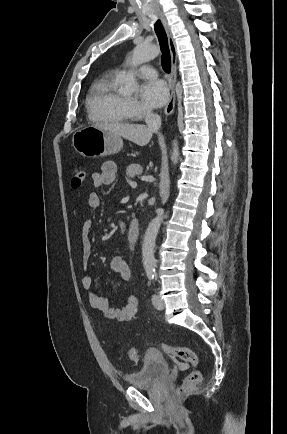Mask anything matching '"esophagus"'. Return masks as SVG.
Wrapping results in <instances>:
<instances>
[{
    "label": "esophagus",
    "mask_w": 287,
    "mask_h": 434,
    "mask_svg": "<svg viewBox=\"0 0 287 434\" xmlns=\"http://www.w3.org/2000/svg\"><path fill=\"white\" fill-rule=\"evenodd\" d=\"M159 17H160L162 25L166 31V34H167L170 53H171V74H170V80H169L171 93H170L169 101H168V103L165 107V110H164L165 115L169 116L174 111L175 100H176L175 81H176L177 50H176V44H175V41L173 38L171 28H170L167 20L165 19V17L163 16L162 13H159Z\"/></svg>",
    "instance_id": "esophagus-1"
}]
</instances>
